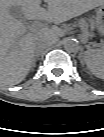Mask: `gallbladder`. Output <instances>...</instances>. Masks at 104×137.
<instances>
[{"label":"gallbladder","instance_id":"1","mask_svg":"<svg viewBox=\"0 0 104 137\" xmlns=\"http://www.w3.org/2000/svg\"><path fill=\"white\" fill-rule=\"evenodd\" d=\"M10 12L14 17L20 18L21 21H23L24 23H27L26 20L23 18L21 10L18 7H12Z\"/></svg>","mask_w":104,"mask_h":137}]
</instances>
